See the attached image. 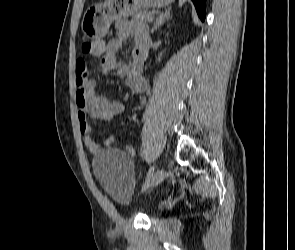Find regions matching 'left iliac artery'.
Instances as JSON below:
<instances>
[{
	"label": "left iliac artery",
	"instance_id": "1",
	"mask_svg": "<svg viewBox=\"0 0 295 250\" xmlns=\"http://www.w3.org/2000/svg\"><path fill=\"white\" fill-rule=\"evenodd\" d=\"M154 171H155V167L154 166L150 167V169L147 173V176H146L145 183L143 184L142 190H144L149 185L151 180L153 179Z\"/></svg>",
	"mask_w": 295,
	"mask_h": 250
}]
</instances>
